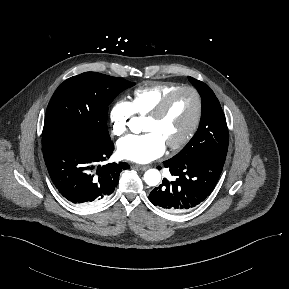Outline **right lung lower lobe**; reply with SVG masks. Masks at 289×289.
Returning <instances> with one entry per match:
<instances>
[{
	"instance_id": "obj_1",
	"label": "right lung lower lobe",
	"mask_w": 289,
	"mask_h": 289,
	"mask_svg": "<svg viewBox=\"0 0 289 289\" xmlns=\"http://www.w3.org/2000/svg\"><path fill=\"white\" fill-rule=\"evenodd\" d=\"M43 147L49 175L58 191L75 204L98 203L113 193L125 162L100 165L110 157L114 144H96L65 137Z\"/></svg>"
}]
</instances>
